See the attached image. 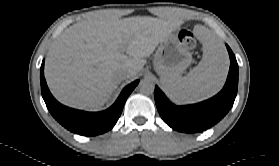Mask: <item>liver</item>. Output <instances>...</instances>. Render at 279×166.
I'll return each mask as SVG.
<instances>
[{"instance_id": "obj_1", "label": "liver", "mask_w": 279, "mask_h": 166, "mask_svg": "<svg viewBox=\"0 0 279 166\" xmlns=\"http://www.w3.org/2000/svg\"><path fill=\"white\" fill-rule=\"evenodd\" d=\"M181 24L173 12L165 18L95 14L55 40L45 63L47 84L63 104L98 110L121 82L117 71L128 67L133 70L130 77L137 75L145 58Z\"/></svg>"}]
</instances>
